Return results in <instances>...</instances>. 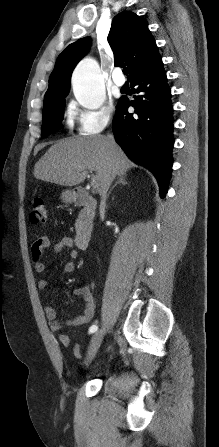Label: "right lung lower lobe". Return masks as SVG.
Segmentation results:
<instances>
[{
  "label": "right lung lower lobe",
  "mask_w": 219,
  "mask_h": 447,
  "mask_svg": "<svg viewBox=\"0 0 219 447\" xmlns=\"http://www.w3.org/2000/svg\"><path fill=\"white\" fill-rule=\"evenodd\" d=\"M135 93L130 101L121 97L112 121L116 142L130 159L148 168L158 180L160 196L168 190L172 171L173 105L161 58L130 81ZM133 106L135 113H129Z\"/></svg>",
  "instance_id": "98d812e1"
}]
</instances>
